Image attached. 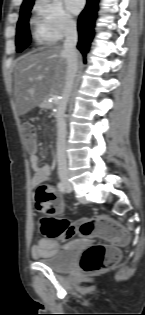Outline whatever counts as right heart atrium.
Masks as SVG:
<instances>
[{"instance_id": "1", "label": "right heart atrium", "mask_w": 145, "mask_h": 315, "mask_svg": "<svg viewBox=\"0 0 145 315\" xmlns=\"http://www.w3.org/2000/svg\"><path fill=\"white\" fill-rule=\"evenodd\" d=\"M34 12L36 23L49 41H60L76 29L74 19L59 0H37Z\"/></svg>"}]
</instances>
